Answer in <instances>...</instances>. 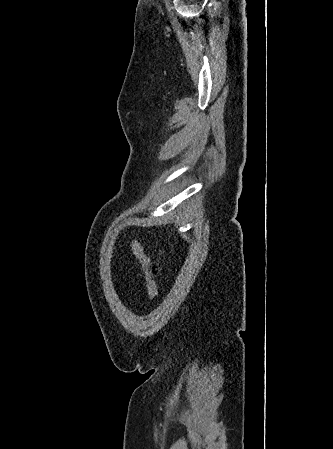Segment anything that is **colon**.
Masks as SVG:
<instances>
[{"label":"colon","instance_id":"5ec220e1","mask_svg":"<svg viewBox=\"0 0 333 449\" xmlns=\"http://www.w3.org/2000/svg\"><path fill=\"white\" fill-rule=\"evenodd\" d=\"M130 248L144 270L148 297L151 300H154L158 297L159 294L158 284L156 280L158 275V268L154 263L152 257L146 252L145 248L140 242H138L137 240H132L130 242Z\"/></svg>","mask_w":333,"mask_h":449}]
</instances>
